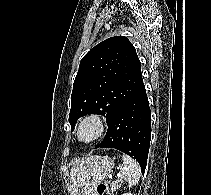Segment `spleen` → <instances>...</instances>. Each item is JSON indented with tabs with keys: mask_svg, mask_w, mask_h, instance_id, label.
Masks as SVG:
<instances>
[{
	"mask_svg": "<svg viewBox=\"0 0 211 195\" xmlns=\"http://www.w3.org/2000/svg\"><path fill=\"white\" fill-rule=\"evenodd\" d=\"M123 168L118 177L125 179L130 185H136L141 176V168L139 164L130 156L123 155Z\"/></svg>",
	"mask_w": 211,
	"mask_h": 195,
	"instance_id": "1",
	"label": "spleen"
}]
</instances>
